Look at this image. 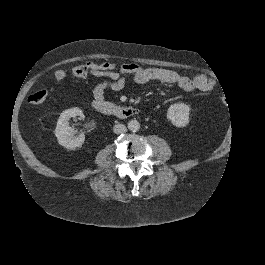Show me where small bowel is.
Segmentation results:
<instances>
[{
  "label": "small bowel",
  "instance_id": "obj_1",
  "mask_svg": "<svg viewBox=\"0 0 265 265\" xmlns=\"http://www.w3.org/2000/svg\"><path fill=\"white\" fill-rule=\"evenodd\" d=\"M89 74L95 77H104L98 84L90 88L94 100H103L107 89L120 91L125 86L126 76L133 75L137 84H145L151 81H159L167 84H175L182 90L190 92L200 90L208 92L213 89V82L204 75L188 77L176 71L162 68H142L135 63H94L87 64Z\"/></svg>",
  "mask_w": 265,
  "mask_h": 265
}]
</instances>
